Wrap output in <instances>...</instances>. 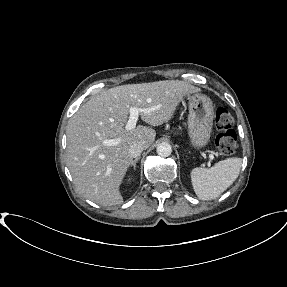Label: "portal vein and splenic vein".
<instances>
[{
	"instance_id": "1",
	"label": "portal vein and splenic vein",
	"mask_w": 287,
	"mask_h": 287,
	"mask_svg": "<svg viewBox=\"0 0 287 287\" xmlns=\"http://www.w3.org/2000/svg\"><path fill=\"white\" fill-rule=\"evenodd\" d=\"M149 111H150L149 109H140V108H136V107H130V109H129L130 116H129L128 122L125 126V129L127 131L134 129L136 127V124L138 121L139 113L140 112L148 113ZM118 143H119L118 139H106V140L102 141V144L106 145V146H114V145H117ZM209 158H210V160H213L214 156L212 154H210ZM210 164L211 163L208 162V166H210Z\"/></svg>"
}]
</instances>
